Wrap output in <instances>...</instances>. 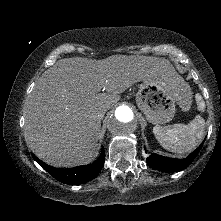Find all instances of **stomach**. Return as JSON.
I'll use <instances>...</instances> for the list:
<instances>
[{"label":"stomach","mask_w":221,"mask_h":221,"mask_svg":"<svg viewBox=\"0 0 221 221\" xmlns=\"http://www.w3.org/2000/svg\"><path fill=\"white\" fill-rule=\"evenodd\" d=\"M138 108L152 124H165L171 121L176 105L188 110L191 93L188 85L177 74L169 79H149L143 81L136 94Z\"/></svg>","instance_id":"0dacf381"}]
</instances>
